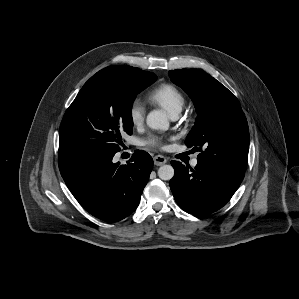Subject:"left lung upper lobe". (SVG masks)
Here are the masks:
<instances>
[{
  "label": "left lung upper lobe",
  "instance_id": "obj_1",
  "mask_svg": "<svg viewBox=\"0 0 299 299\" xmlns=\"http://www.w3.org/2000/svg\"><path fill=\"white\" fill-rule=\"evenodd\" d=\"M192 99L198 116L185 144L201 153L197 161L246 171L249 129L237 98L219 81L196 69L169 71Z\"/></svg>",
  "mask_w": 299,
  "mask_h": 299
}]
</instances>
